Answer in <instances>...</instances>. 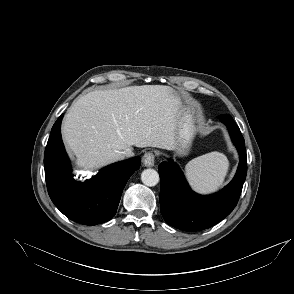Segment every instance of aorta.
I'll list each match as a JSON object with an SVG mask.
<instances>
[{
    "label": "aorta",
    "instance_id": "762f6f07",
    "mask_svg": "<svg viewBox=\"0 0 294 294\" xmlns=\"http://www.w3.org/2000/svg\"><path fill=\"white\" fill-rule=\"evenodd\" d=\"M141 181L143 184L146 186H155L159 182V174L156 170L154 169H145L141 173Z\"/></svg>",
    "mask_w": 294,
    "mask_h": 294
}]
</instances>
